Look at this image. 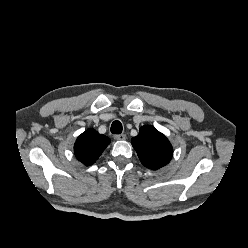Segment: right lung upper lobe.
I'll return each instance as SVG.
<instances>
[{
    "instance_id": "obj_1",
    "label": "right lung upper lobe",
    "mask_w": 248,
    "mask_h": 248,
    "mask_svg": "<svg viewBox=\"0 0 248 248\" xmlns=\"http://www.w3.org/2000/svg\"><path fill=\"white\" fill-rule=\"evenodd\" d=\"M109 143L110 139L107 136L89 128L78 136L74 145V153L80 162L90 166L99 158Z\"/></svg>"
}]
</instances>
